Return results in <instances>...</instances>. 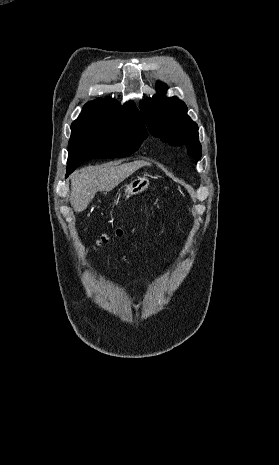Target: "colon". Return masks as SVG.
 <instances>
[{
  "label": "colon",
  "mask_w": 279,
  "mask_h": 465,
  "mask_svg": "<svg viewBox=\"0 0 279 465\" xmlns=\"http://www.w3.org/2000/svg\"><path fill=\"white\" fill-rule=\"evenodd\" d=\"M122 230H116L114 235L119 237V236H122ZM111 239V236L110 235H103L98 241H97V244L98 245H102V244H106L109 242V240Z\"/></svg>",
  "instance_id": "1"
}]
</instances>
